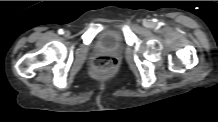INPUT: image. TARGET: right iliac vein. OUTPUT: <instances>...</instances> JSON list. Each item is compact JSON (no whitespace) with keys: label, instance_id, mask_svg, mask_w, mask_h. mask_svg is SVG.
<instances>
[{"label":"right iliac vein","instance_id":"right-iliac-vein-1","mask_svg":"<svg viewBox=\"0 0 218 122\" xmlns=\"http://www.w3.org/2000/svg\"><path fill=\"white\" fill-rule=\"evenodd\" d=\"M64 34H65V36H69L70 33H69V31H65Z\"/></svg>","mask_w":218,"mask_h":122}]
</instances>
